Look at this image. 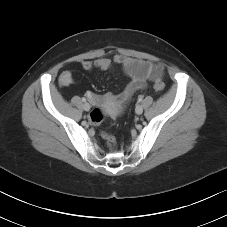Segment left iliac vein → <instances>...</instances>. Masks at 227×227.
<instances>
[{"instance_id":"4c4485c4","label":"left iliac vein","mask_w":227,"mask_h":227,"mask_svg":"<svg viewBox=\"0 0 227 227\" xmlns=\"http://www.w3.org/2000/svg\"><path fill=\"white\" fill-rule=\"evenodd\" d=\"M136 114L140 115L143 112V107L141 105H137L135 108Z\"/></svg>"}]
</instances>
